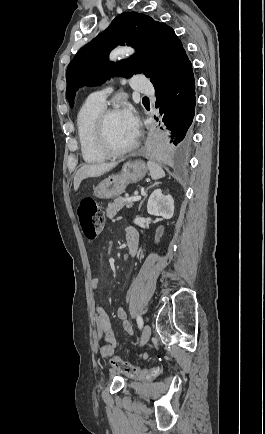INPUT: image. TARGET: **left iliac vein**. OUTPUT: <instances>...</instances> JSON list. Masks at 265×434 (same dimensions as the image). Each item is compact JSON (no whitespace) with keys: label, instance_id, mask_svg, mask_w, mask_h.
<instances>
[{"label":"left iliac vein","instance_id":"1","mask_svg":"<svg viewBox=\"0 0 265 434\" xmlns=\"http://www.w3.org/2000/svg\"><path fill=\"white\" fill-rule=\"evenodd\" d=\"M151 336V328L149 325H145L141 335L140 346L145 345Z\"/></svg>","mask_w":265,"mask_h":434}]
</instances>
